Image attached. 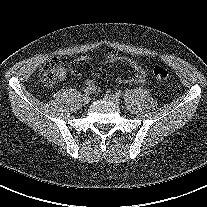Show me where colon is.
I'll use <instances>...</instances> for the list:
<instances>
[{
    "label": "colon",
    "mask_w": 207,
    "mask_h": 207,
    "mask_svg": "<svg viewBox=\"0 0 207 207\" xmlns=\"http://www.w3.org/2000/svg\"><path fill=\"white\" fill-rule=\"evenodd\" d=\"M63 71L64 68L61 62L57 58H53L42 67L40 71V79L45 85L52 86L60 78ZM153 74L156 80L161 83H165L169 79V72L160 66L154 67Z\"/></svg>",
    "instance_id": "5ec220e1"
}]
</instances>
